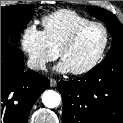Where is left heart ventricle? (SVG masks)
<instances>
[{"label":"left heart ventricle","instance_id":"1","mask_svg":"<svg viewBox=\"0 0 123 123\" xmlns=\"http://www.w3.org/2000/svg\"><path fill=\"white\" fill-rule=\"evenodd\" d=\"M104 42V33L99 27L84 31L76 43L62 57L71 70L81 69L90 64L99 53Z\"/></svg>","mask_w":123,"mask_h":123}]
</instances>
